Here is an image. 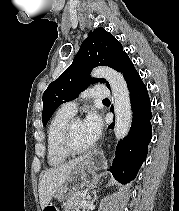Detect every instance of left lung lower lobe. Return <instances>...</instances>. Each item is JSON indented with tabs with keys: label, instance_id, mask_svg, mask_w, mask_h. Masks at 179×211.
<instances>
[{
	"label": "left lung lower lobe",
	"instance_id": "1",
	"mask_svg": "<svg viewBox=\"0 0 179 211\" xmlns=\"http://www.w3.org/2000/svg\"><path fill=\"white\" fill-rule=\"evenodd\" d=\"M118 71L123 74L130 91L133 120L129 134L117 145L109 171L117 181L126 184L134 180L146 159L152 137V114L147 88L128 55L121 61ZM109 128H113V124Z\"/></svg>",
	"mask_w": 179,
	"mask_h": 211
}]
</instances>
